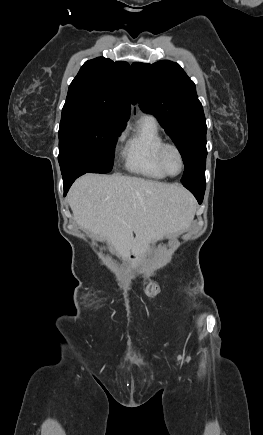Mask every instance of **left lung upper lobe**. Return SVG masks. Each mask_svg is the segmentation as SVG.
Wrapping results in <instances>:
<instances>
[{
	"mask_svg": "<svg viewBox=\"0 0 263 435\" xmlns=\"http://www.w3.org/2000/svg\"><path fill=\"white\" fill-rule=\"evenodd\" d=\"M142 111L156 116L179 149L185 171L182 183L205 176L206 121L194 82L175 62L132 64Z\"/></svg>",
	"mask_w": 263,
	"mask_h": 435,
	"instance_id": "left-lung-upper-lobe-1",
	"label": "left lung upper lobe"
}]
</instances>
